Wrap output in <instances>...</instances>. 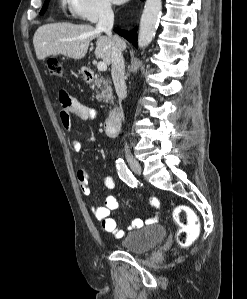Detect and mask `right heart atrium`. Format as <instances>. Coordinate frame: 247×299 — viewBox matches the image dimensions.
Instances as JSON below:
<instances>
[{
	"label": "right heart atrium",
	"mask_w": 247,
	"mask_h": 299,
	"mask_svg": "<svg viewBox=\"0 0 247 299\" xmlns=\"http://www.w3.org/2000/svg\"><path fill=\"white\" fill-rule=\"evenodd\" d=\"M72 14L75 18L90 23L112 16L111 0H72Z\"/></svg>",
	"instance_id": "d8ad5b80"
}]
</instances>
